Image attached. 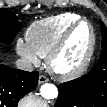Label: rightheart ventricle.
Returning a JSON list of instances; mask_svg holds the SVG:
<instances>
[{
  "label": "right heart ventricle",
  "mask_w": 107,
  "mask_h": 107,
  "mask_svg": "<svg viewBox=\"0 0 107 107\" xmlns=\"http://www.w3.org/2000/svg\"><path fill=\"white\" fill-rule=\"evenodd\" d=\"M78 19L77 14L62 13L35 21L26 30V41L40 57H46L64 31Z\"/></svg>",
  "instance_id": "obj_1"
}]
</instances>
